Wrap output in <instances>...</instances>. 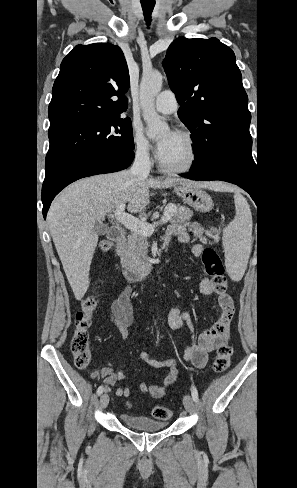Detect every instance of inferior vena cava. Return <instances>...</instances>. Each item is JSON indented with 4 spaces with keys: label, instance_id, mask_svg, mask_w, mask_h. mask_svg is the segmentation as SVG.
<instances>
[{
    "label": "inferior vena cava",
    "instance_id": "obj_1",
    "mask_svg": "<svg viewBox=\"0 0 297 488\" xmlns=\"http://www.w3.org/2000/svg\"><path fill=\"white\" fill-rule=\"evenodd\" d=\"M151 169L149 150L147 146H139L136 150L134 163L130 169L135 176L147 177Z\"/></svg>",
    "mask_w": 297,
    "mask_h": 488
}]
</instances>
